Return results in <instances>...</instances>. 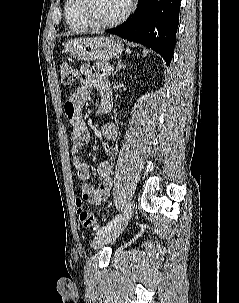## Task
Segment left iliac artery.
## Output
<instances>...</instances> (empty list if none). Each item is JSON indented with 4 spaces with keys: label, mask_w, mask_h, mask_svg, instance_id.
Segmentation results:
<instances>
[{
    "label": "left iliac artery",
    "mask_w": 239,
    "mask_h": 303,
    "mask_svg": "<svg viewBox=\"0 0 239 303\" xmlns=\"http://www.w3.org/2000/svg\"><path fill=\"white\" fill-rule=\"evenodd\" d=\"M120 218H121V216L118 214L117 216H115V218L112 221L108 222L105 226L98 229L96 234L99 235V234L109 230L113 225H115L119 221Z\"/></svg>",
    "instance_id": "44dca946"
}]
</instances>
